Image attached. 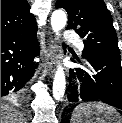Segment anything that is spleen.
Instances as JSON below:
<instances>
[{
	"label": "spleen",
	"instance_id": "spleen-1",
	"mask_svg": "<svg viewBox=\"0 0 122 123\" xmlns=\"http://www.w3.org/2000/svg\"><path fill=\"white\" fill-rule=\"evenodd\" d=\"M120 118L117 110L101 102L82 103L73 113L72 123H114ZM118 123L120 121H117Z\"/></svg>",
	"mask_w": 122,
	"mask_h": 123
}]
</instances>
